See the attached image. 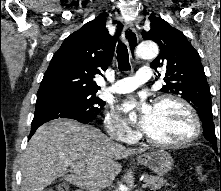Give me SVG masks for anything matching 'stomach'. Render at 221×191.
<instances>
[{
	"label": "stomach",
	"instance_id": "obj_1",
	"mask_svg": "<svg viewBox=\"0 0 221 191\" xmlns=\"http://www.w3.org/2000/svg\"><path fill=\"white\" fill-rule=\"evenodd\" d=\"M137 160L160 176L167 174L173 166L172 156L162 149L143 154Z\"/></svg>",
	"mask_w": 221,
	"mask_h": 191
}]
</instances>
